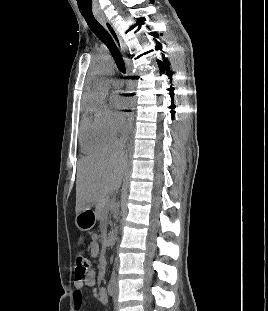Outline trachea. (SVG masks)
<instances>
[{
	"label": "trachea",
	"mask_w": 268,
	"mask_h": 311,
	"mask_svg": "<svg viewBox=\"0 0 268 311\" xmlns=\"http://www.w3.org/2000/svg\"><path fill=\"white\" fill-rule=\"evenodd\" d=\"M85 21L87 22L89 28L91 31L107 46V48L110 50L116 65L122 73H126V67L123 60V57L115 44L113 38L108 33V31L105 30V28L95 19L93 15H86L82 14Z\"/></svg>",
	"instance_id": "3493384b"
}]
</instances>
